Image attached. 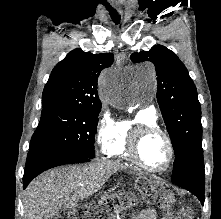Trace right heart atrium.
Instances as JSON below:
<instances>
[{"instance_id": "right-heart-atrium-1", "label": "right heart atrium", "mask_w": 221, "mask_h": 219, "mask_svg": "<svg viewBox=\"0 0 221 219\" xmlns=\"http://www.w3.org/2000/svg\"><path fill=\"white\" fill-rule=\"evenodd\" d=\"M116 121L110 111L106 108L102 110L96 127L95 140L102 153H106L113 137Z\"/></svg>"}]
</instances>
